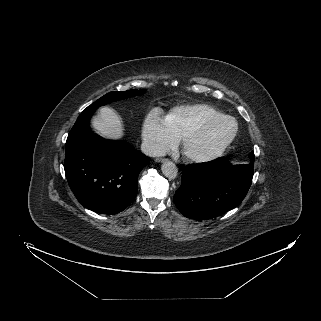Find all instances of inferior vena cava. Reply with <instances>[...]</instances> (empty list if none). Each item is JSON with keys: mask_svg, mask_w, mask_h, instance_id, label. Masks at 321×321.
<instances>
[{"mask_svg": "<svg viewBox=\"0 0 321 321\" xmlns=\"http://www.w3.org/2000/svg\"><path fill=\"white\" fill-rule=\"evenodd\" d=\"M142 152L149 157H159L165 155V151L155 142L144 140L141 144Z\"/></svg>", "mask_w": 321, "mask_h": 321, "instance_id": "inferior-vena-cava-1", "label": "inferior vena cava"}]
</instances>
